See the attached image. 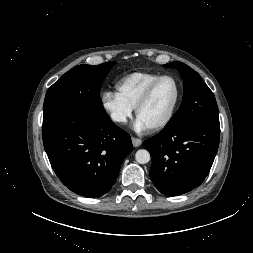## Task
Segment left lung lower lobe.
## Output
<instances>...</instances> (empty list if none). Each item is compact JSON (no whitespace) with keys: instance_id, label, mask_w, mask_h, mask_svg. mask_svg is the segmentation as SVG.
Segmentation results:
<instances>
[{"instance_id":"1","label":"left lung lower lobe","mask_w":253,"mask_h":253,"mask_svg":"<svg viewBox=\"0 0 253 253\" xmlns=\"http://www.w3.org/2000/svg\"><path fill=\"white\" fill-rule=\"evenodd\" d=\"M220 125L195 122L161 131L144 141L152 158L150 177L167 196L187 193L208 175L219 146Z\"/></svg>"}]
</instances>
